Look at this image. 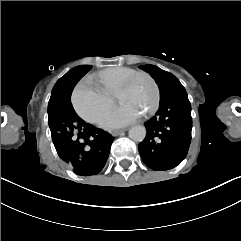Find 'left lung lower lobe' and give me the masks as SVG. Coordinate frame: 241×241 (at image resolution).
<instances>
[{"mask_svg":"<svg viewBox=\"0 0 241 241\" xmlns=\"http://www.w3.org/2000/svg\"><path fill=\"white\" fill-rule=\"evenodd\" d=\"M145 126L147 136L138 147L143 162L153 170L176 167L191 142V104L185 89L162 98L156 115Z\"/></svg>","mask_w":241,"mask_h":241,"instance_id":"obj_1","label":"left lung lower lobe"}]
</instances>
